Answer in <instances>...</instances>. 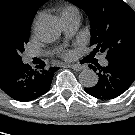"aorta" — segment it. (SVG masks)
Returning <instances> with one entry per match:
<instances>
[{
  "mask_svg": "<svg viewBox=\"0 0 135 135\" xmlns=\"http://www.w3.org/2000/svg\"><path fill=\"white\" fill-rule=\"evenodd\" d=\"M61 24L52 16H45L35 23V33L44 42H53L61 35ZM79 81L85 87H93L98 82V76L91 69H84L79 75Z\"/></svg>",
  "mask_w": 135,
  "mask_h": 135,
  "instance_id": "obj_1",
  "label": "aorta"
}]
</instances>
